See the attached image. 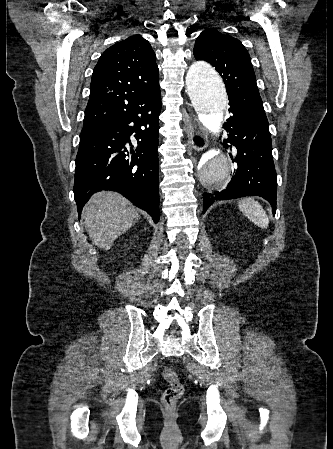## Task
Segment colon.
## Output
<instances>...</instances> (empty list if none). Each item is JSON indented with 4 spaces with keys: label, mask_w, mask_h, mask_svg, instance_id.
Wrapping results in <instances>:
<instances>
[{
    "label": "colon",
    "mask_w": 333,
    "mask_h": 449,
    "mask_svg": "<svg viewBox=\"0 0 333 449\" xmlns=\"http://www.w3.org/2000/svg\"><path fill=\"white\" fill-rule=\"evenodd\" d=\"M169 386L162 395V402L168 408L174 407L184 392V387L177 375L171 368H165L162 372Z\"/></svg>",
    "instance_id": "5ec220e1"
}]
</instances>
